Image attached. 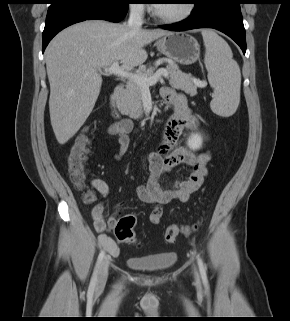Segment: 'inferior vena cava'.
<instances>
[{"instance_id":"602c4592","label":"inferior vena cava","mask_w":290,"mask_h":321,"mask_svg":"<svg viewBox=\"0 0 290 321\" xmlns=\"http://www.w3.org/2000/svg\"><path fill=\"white\" fill-rule=\"evenodd\" d=\"M144 8L141 5H132L130 8V16L127 26L136 31L139 30L143 24Z\"/></svg>"}]
</instances>
